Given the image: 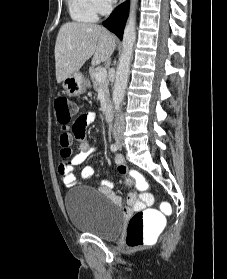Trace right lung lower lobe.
Returning a JSON list of instances; mask_svg holds the SVG:
<instances>
[{"label": "right lung lower lobe", "mask_w": 227, "mask_h": 279, "mask_svg": "<svg viewBox=\"0 0 227 279\" xmlns=\"http://www.w3.org/2000/svg\"><path fill=\"white\" fill-rule=\"evenodd\" d=\"M128 11H129V2L127 1L119 5L115 9L113 14L106 21L103 22V25L108 30L115 33L121 40L123 36L125 23L128 17Z\"/></svg>", "instance_id": "right-lung-lower-lobe-1"}]
</instances>
